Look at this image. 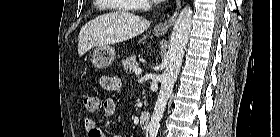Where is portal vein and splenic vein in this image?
Wrapping results in <instances>:
<instances>
[{"label":"portal vein and splenic vein","mask_w":280,"mask_h":137,"mask_svg":"<svg viewBox=\"0 0 280 137\" xmlns=\"http://www.w3.org/2000/svg\"><path fill=\"white\" fill-rule=\"evenodd\" d=\"M141 73H142L141 68H136V69H135V74H136V75H140Z\"/></svg>","instance_id":"18ae733b"}]
</instances>
